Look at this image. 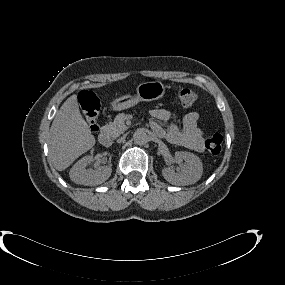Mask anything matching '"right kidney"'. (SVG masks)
Wrapping results in <instances>:
<instances>
[{"instance_id": "ca27d5eb", "label": "right kidney", "mask_w": 285, "mask_h": 285, "mask_svg": "<svg viewBox=\"0 0 285 285\" xmlns=\"http://www.w3.org/2000/svg\"><path fill=\"white\" fill-rule=\"evenodd\" d=\"M93 155H88L76 162L70 170L71 180L80 185H98L105 182L111 175L112 169L110 166H100L92 169L86 168L94 162Z\"/></svg>"}]
</instances>
